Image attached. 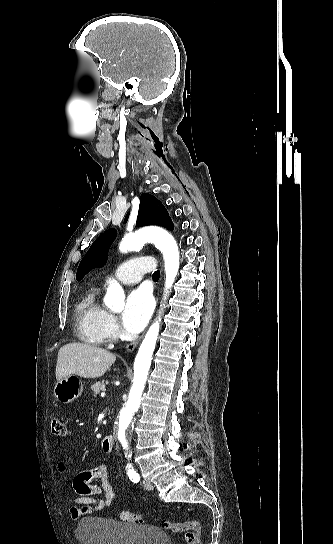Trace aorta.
<instances>
[{
  "instance_id": "762f6f07",
  "label": "aorta",
  "mask_w": 333,
  "mask_h": 544,
  "mask_svg": "<svg viewBox=\"0 0 333 544\" xmlns=\"http://www.w3.org/2000/svg\"><path fill=\"white\" fill-rule=\"evenodd\" d=\"M152 242L163 254L165 262V292L167 294L175 281L179 270V250L174 238L165 230L158 227H145L135 233L126 235L120 243L119 250L122 253L140 249L145 243ZM166 298V296H165ZM125 294L122 286L112 280L104 303L112 311H121L124 307ZM160 317L147 331L134 362L133 385L129 392L128 401L120 412L117 426L118 439L124 449H129L132 439L131 420L141 404V395L147 380L151 366L152 355L155 349L160 328Z\"/></svg>"
}]
</instances>
